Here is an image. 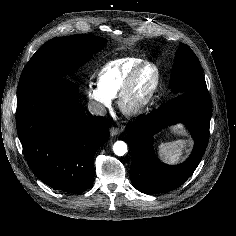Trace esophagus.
Wrapping results in <instances>:
<instances>
[{"label":"esophagus","mask_w":236,"mask_h":236,"mask_svg":"<svg viewBox=\"0 0 236 236\" xmlns=\"http://www.w3.org/2000/svg\"><path fill=\"white\" fill-rule=\"evenodd\" d=\"M119 132H120L119 128H116V127L110 128V135L111 136H116Z\"/></svg>","instance_id":"34e87169"}]
</instances>
